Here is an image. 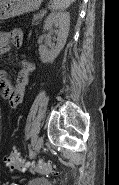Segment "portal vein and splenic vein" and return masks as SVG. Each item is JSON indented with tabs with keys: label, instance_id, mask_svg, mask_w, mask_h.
<instances>
[{
	"label": "portal vein and splenic vein",
	"instance_id": "obj_1",
	"mask_svg": "<svg viewBox=\"0 0 119 185\" xmlns=\"http://www.w3.org/2000/svg\"><path fill=\"white\" fill-rule=\"evenodd\" d=\"M41 13H42V14H45V13H46V10H42Z\"/></svg>",
	"mask_w": 119,
	"mask_h": 185
}]
</instances>
